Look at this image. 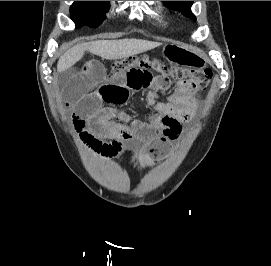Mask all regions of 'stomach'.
I'll use <instances>...</instances> for the list:
<instances>
[{"instance_id":"obj_1","label":"stomach","mask_w":271,"mask_h":266,"mask_svg":"<svg viewBox=\"0 0 271 266\" xmlns=\"http://www.w3.org/2000/svg\"><path fill=\"white\" fill-rule=\"evenodd\" d=\"M162 55L169 63L175 65L193 68H202L206 65V61L197 51L178 43L165 45Z\"/></svg>"}]
</instances>
